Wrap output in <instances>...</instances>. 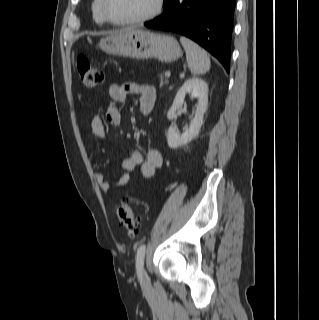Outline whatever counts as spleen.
Returning a JSON list of instances; mask_svg holds the SVG:
<instances>
[{"label":"spleen","instance_id":"spleen-1","mask_svg":"<svg viewBox=\"0 0 319 320\" xmlns=\"http://www.w3.org/2000/svg\"><path fill=\"white\" fill-rule=\"evenodd\" d=\"M180 42L186 51V59L193 75L204 74L210 69V58L206 51L191 39L181 36Z\"/></svg>","mask_w":319,"mask_h":320}]
</instances>
